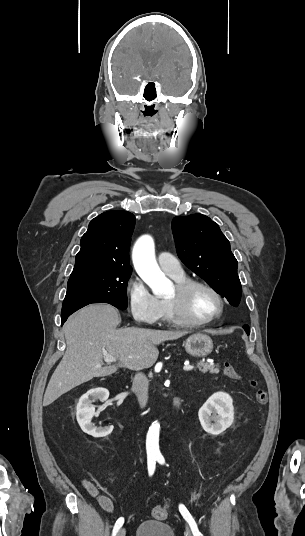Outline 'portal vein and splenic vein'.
I'll list each match as a JSON object with an SVG mask.
<instances>
[{"label": "portal vein and splenic vein", "instance_id": "1", "mask_svg": "<svg viewBox=\"0 0 305 536\" xmlns=\"http://www.w3.org/2000/svg\"><path fill=\"white\" fill-rule=\"evenodd\" d=\"M104 356V362H116V358L114 356H110V354H103ZM194 366H189V364H185L183 370H193Z\"/></svg>", "mask_w": 305, "mask_h": 536}]
</instances>
